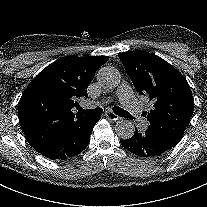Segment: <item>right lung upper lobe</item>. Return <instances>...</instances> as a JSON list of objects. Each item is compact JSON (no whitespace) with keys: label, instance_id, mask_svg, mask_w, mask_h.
I'll return each mask as SVG.
<instances>
[{"label":"right lung upper lobe","instance_id":"cb5924a9","mask_svg":"<svg viewBox=\"0 0 207 207\" xmlns=\"http://www.w3.org/2000/svg\"><path fill=\"white\" fill-rule=\"evenodd\" d=\"M108 56H67L44 68L21 96L18 117L31 146L41 151L51 145L76 120V100L87 97V87Z\"/></svg>","mask_w":207,"mask_h":207}]
</instances>
